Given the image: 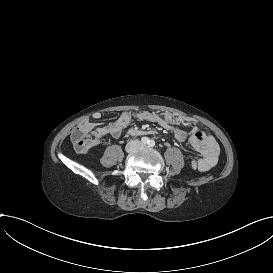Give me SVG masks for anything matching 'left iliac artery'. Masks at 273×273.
<instances>
[{
    "mask_svg": "<svg viewBox=\"0 0 273 273\" xmlns=\"http://www.w3.org/2000/svg\"><path fill=\"white\" fill-rule=\"evenodd\" d=\"M148 145H149L150 147H153V146L155 145V141H154V140H149Z\"/></svg>",
    "mask_w": 273,
    "mask_h": 273,
    "instance_id": "left-iliac-artery-1",
    "label": "left iliac artery"
}]
</instances>
